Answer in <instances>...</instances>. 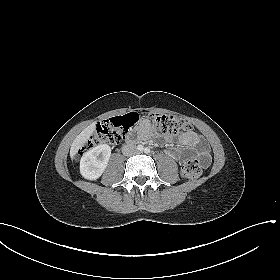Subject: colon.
I'll use <instances>...</instances> for the list:
<instances>
[{
	"label": "colon",
	"instance_id": "5ec220e1",
	"mask_svg": "<svg viewBox=\"0 0 280 280\" xmlns=\"http://www.w3.org/2000/svg\"><path fill=\"white\" fill-rule=\"evenodd\" d=\"M147 119L151 125L159 132L167 134H177L187 132L191 129L190 124L174 115L161 113H149ZM138 121L136 113H129L124 116L113 117L97 124L96 130L90 135L85 143L84 149H90L97 145H115L119 143L128 130ZM207 158H191L181 168V175L187 179L198 178L206 165Z\"/></svg>",
	"mask_w": 280,
	"mask_h": 280
}]
</instances>
